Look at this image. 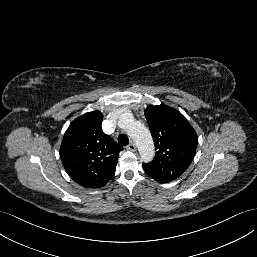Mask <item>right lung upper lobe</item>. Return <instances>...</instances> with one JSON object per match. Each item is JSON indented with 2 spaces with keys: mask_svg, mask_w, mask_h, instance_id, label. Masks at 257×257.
I'll return each instance as SVG.
<instances>
[{
  "mask_svg": "<svg viewBox=\"0 0 257 257\" xmlns=\"http://www.w3.org/2000/svg\"><path fill=\"white\" fill-rule=\"evenodd\" d=\"M103 114L93 111L75 119L66 130L60 158L68 175L87 188L104 186L114 175L123 148L101 128Z\"/></svg>",
  "mask_w": 257,
  "mask_h": 257,
  "instance_id": "cb5924a9",
  "label": "right lung upper lobe"
}]
</instances>
